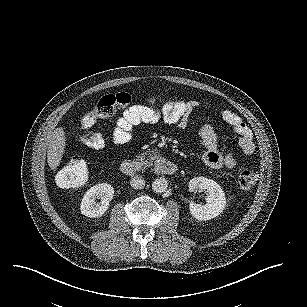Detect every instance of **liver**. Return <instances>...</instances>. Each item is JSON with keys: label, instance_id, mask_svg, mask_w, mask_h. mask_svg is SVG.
<instances>
[{"label": "liver", "instance_id": "6515ba94", "mask_svg": "<svg viewBox=\"0 0 307 307\" xmlns=\"http://www.w3.org/2000/svg\"><path fill=\"white\" fill-rule=\"evenodd\" d=\"M64 148V134L62 129H57L51 135L48 145V164L51 168H56L61 159Z\"/></svg>", "mask_w": 307, "mask_h": 307}]
</instances>
